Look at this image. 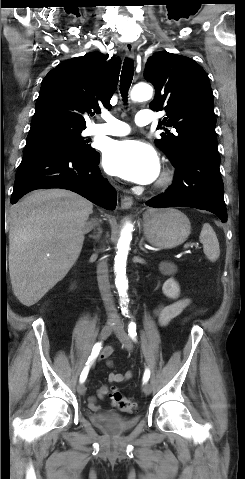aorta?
<instances>
[{
  "mask_svg": "<svg viewBox=\"0 0 245 479\" xmlns=\"http://www.w3.org/2000/svg\"><path fill=\"white\" fill-rule=\"evenodd\" d=\"M153 89L147 84H137L131 91V99L133 101H145L152 97ZM132 225L127 223L121 232V236L117 243V254L115 256L114 270L116 274L115 285L120 296L121 305H126L128 280L126 278V261L132 238ZM122 312H127L125 307H122Z\"/></svg>",
  "mask_w": 245,
  "mask_h": 479,
  "instance_id": "obj_1",
  "label": "aorta"
}]
</instances>
